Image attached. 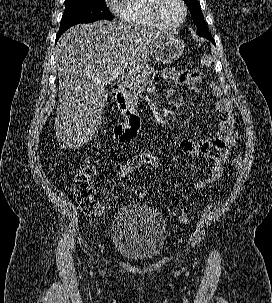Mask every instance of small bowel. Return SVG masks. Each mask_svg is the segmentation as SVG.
<instances>
[{
    "mask_svg": "<svg viewBox=\"0 0 272 303\" xmlns=\"http://www.w3.org/2000/svg\"><path fill=\"white\" fill-rule=\"evenodd\" d=\"M163 77L166 81L187 86L197 85L202 79V75L196 71H180L175 68L166 69L163 72ZM209 90L212 96L217 99L215 104L217 119L215 136L207 139H181L175 142L188 155H201L210 161L208 176L194 182L193 188L195 190H203L207 185L220 178L229 158L230 150L235 145L238 136L230 102L223 96L220 86L217 83H211Z\"/></svg>",
    "mask_w": 272,
    "mask_h": 303,
    "instance_id": "obj_1",
    "label": "small bowel"
}]
</instances>
